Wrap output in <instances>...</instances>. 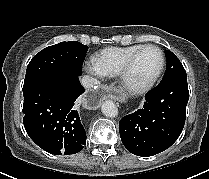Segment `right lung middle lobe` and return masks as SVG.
Returning <instances> with one entry per match:
<instances>
[{
  "instance_id": "right-lung-middle-lobe-1",
  "label": "right lung middle lobe",
  "mask_w": 209,
  "mask_h": 179,
  "mask_svg": "<svg viewBox=\"0 0 209 179\" xmlns=\"http://www.w3.org/2000/svg\"><path fill=\"white\" fill-rule=\"evenodd\" d=\"M87 50L88 46L77 41H69L49 46L40 51L27 66L23 85L24 97L51 75L62 72L81 75Z\"/></svg>"
}]
</instances>
